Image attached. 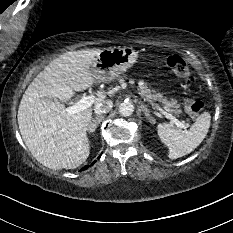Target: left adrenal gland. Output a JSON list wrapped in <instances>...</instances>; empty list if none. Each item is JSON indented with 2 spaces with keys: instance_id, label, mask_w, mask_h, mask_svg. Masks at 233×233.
I'll use <instances>...</instances> for the list:
<instances>
[{
  "instance_id": "1",
  "label": "left adrenal gland",
  "mask_w": 233,
  "mask_h": 233,
  "mask_svg": "<svg viewBox=\"0 0 233 233\" xmlns=\"http://www.w3.org/2000/svg\"><path fill=\"white\" fill-rule=\"evenodd\" d=\"M140 109L144 112V114H145L146 118L149 120V122L153 123L154 120L150 116V110L146 106H144L143 104L140 105Z\"/></svg>"
}]
</instances>
